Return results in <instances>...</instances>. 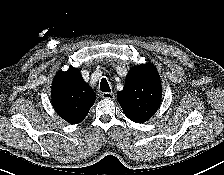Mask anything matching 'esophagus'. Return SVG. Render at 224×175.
Segmentation results:
<instances>
[{"label": "esophagus", "instance_id": "esophagus-1", "mask_svg": "<svg viewBox=\"0 0 224 175\" xmlns=\"http://www.w3.org/2000/svg\"><path fill=\"white\" fill-rule=\"evenodd\" d=\"M101 96L103 99H109V100H112L115 98V95L113 92H104V93H102Z\"/></svg>", "mask_w": 224, "mask_h": 175}]
</instances>
